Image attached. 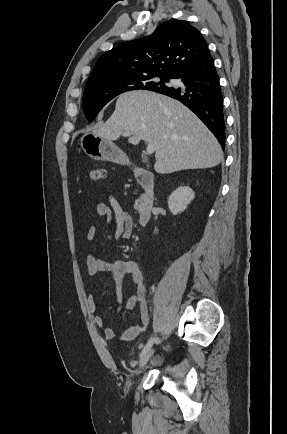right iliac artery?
<instances>
[{
  "mask_svg": "<svg viewBox=\"0 0 287 434\" xmlns=\"http://www.w3.org/2000/svg\"><path fill=\"white\" fill-rule=\"evenodd\" d=\"M156 341V337H152L150 338V340L148 341V343L145 345L142 353H144L147 349L151 348V346L153 345V343Z\"/></svg>",
  "mask_w": 287,
  "mask_h": 434,
  "instance_id": "right-iliac-artery-1",
  "label": "right iliac artery"
}]
</instances>
